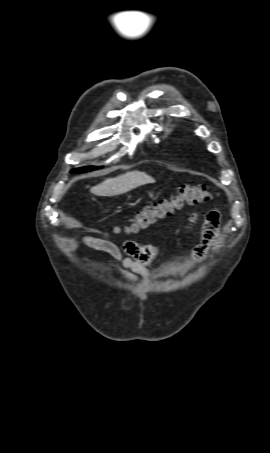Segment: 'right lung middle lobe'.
Here are the masks:
<instances>
[{
	"instance_id": "right-lung-middle-lobe-1",
	"label": "right lung middle lobe",
	"mask_w": 270,
	"mask_h": 453,
	"mask_svg": "<svg viewBox=\"0 0 270 453\" xmlns=\"http://www.w3.org/2000/svg\"><path fill=\"white\" fill-rule=\"evenodd\" d=\"M94 169V167H86V168H80V169H75V170H72L71 172L73 173H80V172H86V171H90Z\"/></svg>"
}]
</instances>
